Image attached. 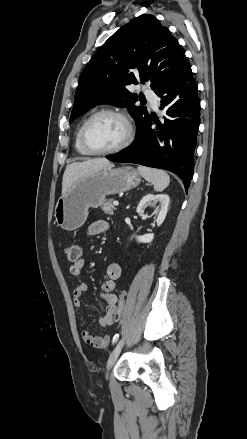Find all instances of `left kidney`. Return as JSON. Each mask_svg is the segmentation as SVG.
I'll use <instances>...</instances> for the list:
<instances>
[{"instance_id":"1","label":"left kidney","mask_w":247,"mask_h":439,"mask_svg":"<svg viewBox=\"0 0 247 439\" xmlns=\"http://www.w3.org/2000/svg\"><path fill=\"white\" fill-rule=\"evenodd\" d=\"M157 202L160 203V211H159L158 216L156 218V223H157V226H160L164 222L165 217L167 215V211H168L169 196L167 194H157V195L147 194V195H145L140 200L136 211H137V213L142 214V213H144V210L148 205L155 206ZM153 238H154V234L150 233V234H145L143 236H137L136 240L139 243H150L153 241Z\"/></svg>"}]
</instances>
